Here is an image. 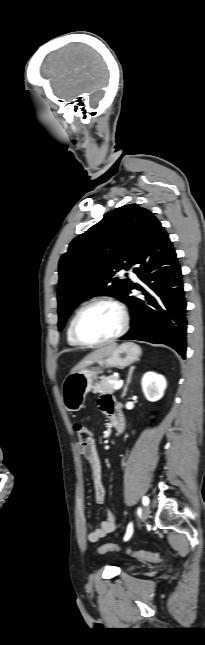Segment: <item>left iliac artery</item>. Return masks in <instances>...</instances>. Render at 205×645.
I'll return each instance as SVG.
<instances>
[{
  "mask_svg": "<svg viewBox=\"0 0 205 645\" xmlns=\"http://www.w3.org/2000/svg\"><path fill=\"white\" fill-rule=\"evenodd\" d=\"M142 502L144 506L148 505L149 503L148 497L144 496L142 498ZM132 533H133V528H132V523H130L127 527V532L125 534L124 541H127L131 537Z\"/></svg>",
  "mask_w": 205,
  "mask_h": 645,
  "instance_id": "44dca946",
  "label": "left iliac artery"
}]
</instances>
